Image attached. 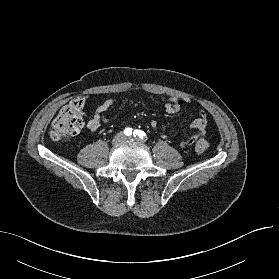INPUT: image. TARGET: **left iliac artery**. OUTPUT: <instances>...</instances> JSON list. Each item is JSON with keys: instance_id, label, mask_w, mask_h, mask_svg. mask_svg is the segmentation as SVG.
<instances>
[{"instance_id": "44dca946", "label": "left iliac artery", "mask_w": 279, "mask_h": 279, "mask_svg": "<svg viewBox=\"0 0 279 279\" xmlns=\"http://www.w3.org/2000/svg\"><path fill=\"white\" fill-rule=\"evenodd\" d=\"M133 136L143 140L145 138L146 134L141 130H134Z\"/></svg>"}]
</instances>
